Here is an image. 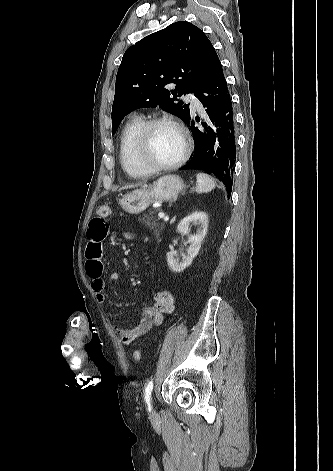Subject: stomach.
Here are the masks:
<instances>
[{"label": "stomach", "instance_id": "obj_1", "mask_svg": "<svg viewBox=\"0 0 333 471\" xmlns=\"http://www.w3.org/2000/svg\"><path fill=\"white\" fill-rule=\"evenodd\" d=\"M183 180L178 175L160 177L150 187L137 189L119 200L122 209L130 214H139L153 202L171 201L184 189Z\"/></svg>", "mask_w": 333, "mask_h": 471}]
</instances>
